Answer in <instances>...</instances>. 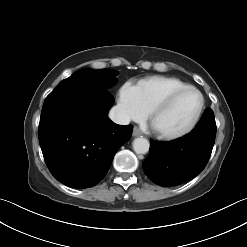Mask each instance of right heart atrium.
Returning a JSON list of instances; mask_svg holds the SVG:
<instances>
[{
  "label": "right heart atrium",
  "mask_w": 247,
  "mask_h": 247,
  "mask_svg": "<svg viewBox=\"0 0 247 247\" xmlns=\"http://www.w3.org/2000/svg\"><path fill=\"white\" fill-rule=\"evenodd\" d=\"M118 105L121 114L127 119L139 120L146 114L137 90L129 84L122 86L120 89Z\"/></svg>",
  "instance_id": "d8ad5b80"
}]
</instances>
